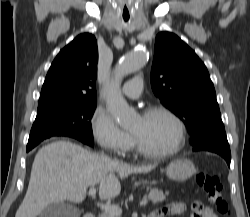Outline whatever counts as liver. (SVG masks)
Returning <instances> with one entry per match:
<instances>
[{
    "instance_id": "6515ba94",
    "label": "liver",
    "mask_w": 250,
    "mask_h": 217,
    "mask_svg": "<svg viewBox=\"0 0 250 217\" xmlns=\"http://www.w3.org/2000/svg\"><path fill=\"white\" fill-rule=\"evenodd\" d=\"M153 165L132 166L94 154L69 141H55L36 154L28 189L15 217H37L53 203H81L89 186L99 185V197L120 194L123 179L132 173H148Z\"/></svg>"
}]
</instances>
